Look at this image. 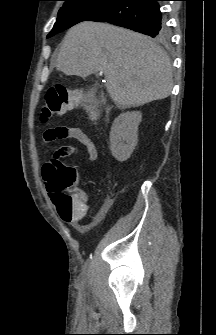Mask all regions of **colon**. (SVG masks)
Returning a JSON list of instances; mask_svg holds the SVG:
<instances>
[{
  "label": "colon",
  "instance_id": "colon-1",
  "mask_svg": "<svg viewBox=\"0 0 216 335\" xmlns=\"http://www.w3.org/2000/svg\"><path fill=\"white\" fill-rule=\"evenodd\" d=\"M84 105L92 120H95L101 106L98 101L88 98L79 89H68L64 86L50 88L45 94V103L41 108L40 119L43 123L56 115H62L67 111ZM70 154V148L63 146L57 150L48 161L50 170V187L53 199L56 201L61 216L77 211L80 208L73 197V189L78 184V172L74 166L65 165L61 159ZM48 167V165H47Z\"/></svg>",
  "mask_w": 216,
  "mask_h": 335
}]
</instances>
